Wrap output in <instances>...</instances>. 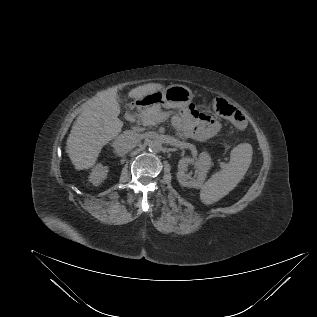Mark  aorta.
I'll list each match as a JSON object with an SVG mask.
<instances>
[{"instance_id": "obj_1", "label": "aorta", "mask_w": 317, "mask_h": 317, "mask_svg": "<svg viewBox=\"0 0 317 317\" xmlns=\"http://www.w3.org/2000/svg\"><path fill=\"white\" fill-rule=\"evenodd\" d=\"M148 148L149 151L153 152V153H158L161 151L162 149V143L159 140H151L148 143Z\"/></svg>"}]
</instances>
